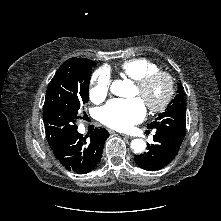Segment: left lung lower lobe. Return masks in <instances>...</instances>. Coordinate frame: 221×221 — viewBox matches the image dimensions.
<instances>
[{"mask_svg": "<svg viewBox=\"0 0 221 221\" xmlns=\"http://www.w3.org/2000/svg\"><path fill=\"white\" fill-rule=\"evenodd\" d=\"M184 137L164 128H156L154 144H147V152L135 155V162L148 171L160 170L167 166L177 155Z\"/></svg>", "mask_w": 221, "mask_h": 221, "instance_id": "obj_1", "label": "left lung lower lobe"}]
</instances>
